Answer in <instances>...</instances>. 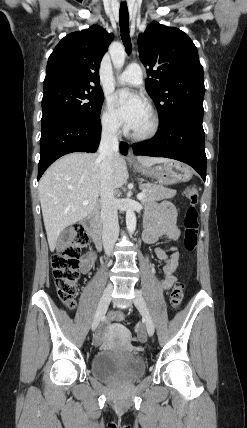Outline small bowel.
I'll use <instances>...</instances> for the list:
<instances>
[{"label":"small bowel","mask_w":247,"mask_h":428,"mask_svg":"<svg viewBox=\"0 0 247 428\" xmlns=\"http://www.w3.org/2000/svg\"><path fill=\"white\" fill-rule=\"evenodd\" d=\"M180 236V231L176 225V210L172 203L164 201L150 208L145 219L144 240L147 243H154L161 237H166L172 241H177ZM172 254L167 255L164 248H157L156 255L163 262V278L160 286L164 290L170 289L175 283L174 275L180 259V253L177 247L170 248ZM95 256L93 253H87L82 257L81 270L83 273H88L93 267ZM103 332H99L94 342L99 345L103 342Z\"/></svg>","instance_id":"small-bowel-1"}]
</instances>
